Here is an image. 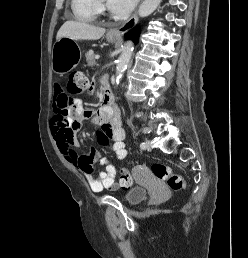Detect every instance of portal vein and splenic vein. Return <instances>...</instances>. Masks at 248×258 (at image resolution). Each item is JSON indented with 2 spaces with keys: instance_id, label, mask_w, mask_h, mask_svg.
Segmentation results:
<instances>
[{
  "instance_id": "obj_1",
  "label": "portal vein and splenic vein",
  "mask_w": 248,
  "mask_h": 258,
  "mask_svg": "<svg viewBox=\"0 0 248 258\" xmlns=\"http://www.w3.org/2000/svg\"><path fill=\"white\" fill-rule=\"evenodd\" d=\"M99 58H100V56H99V55H96V56H95V59H97V60H98Z\"/></svg>"
}]
</instances>
